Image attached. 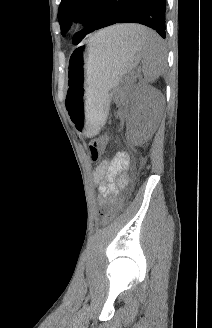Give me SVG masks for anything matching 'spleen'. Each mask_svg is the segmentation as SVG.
I'll list each match as a JSON object with an SVG mask.
<instances>
[{
    "label": "spleen",
    "mask_w": 212,
    "mask_h": 328,
    "mask_svg": "<svg viewBox=\"0 0 212 328\" xmlns=\"http://www.w3.org/2000/svg\"><path fill=\"white\" fill-rule=\"evenodd\" d=\"M136 45L143 58L142 72L146 83L155 81L164 70L165 47L162 39L153 31L135 25ZM97 41L98 39H91Z\"/></svg>",
    "instance_id": "spleen-1"
}]
</instances>
